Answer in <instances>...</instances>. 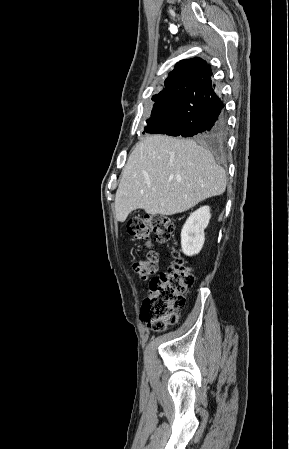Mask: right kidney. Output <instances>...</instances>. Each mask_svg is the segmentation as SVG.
I'll return each instance as SVG.
<instances>
[{"label": "right kidney", "instance_id": "obj_1", "mask_svg": "<svg viewBox=\"0 0 289 449\" xmlns=\"http://www.w3.org/2000/svg\"><path fill=\"white\" fill-rule=\"evenodd\" d=\"M210 218L209 206L199 208L188 217L181 231V247L185 255L193 256L201 251L205 241L204 230Z\"/></svg>", "mask_w": 289, "mask_h": 449}]
</instances>
